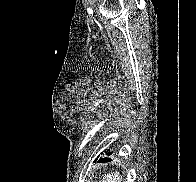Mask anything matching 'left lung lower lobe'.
<instances>
[{
    "label": "left lung lower lobe",
    "instance_id": "0a47b994",
    "mask_svg": "<svg viewBox=\"0 0 196 182\" xmlns=\"http://www.w3.org/2000/svg\"><path fill=\"white\" fill-rule=\"evenodd\" d=\"M104 152H105L106 155H111L113 153V152H111L109 150H105ZM102 154H103V152H102ZM98 157L95 159V162L97 161ZM108 161H111V159H109V158H101L99 160V162H108Z\"/></svg>",
    "mask_w": 196,
    "mask_h": 182
}]
</instances>
